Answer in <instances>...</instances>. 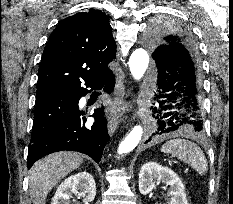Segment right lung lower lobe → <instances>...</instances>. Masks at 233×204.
I'll use <instances>...</instances> for the list:
<instances>
[{
	"label": "right lung lower lobe",
	"mask_w": 233,
	"mask_h": 204,
	"mask_svg": "<svg viewBox=\"0 0 233 204\" xmlns=\"http://www.w3.org/2000/svg\"><path fill=\"white\" fill-rule=\"evenodd\" d=\"M114 85L115 76L111 72L101 78L91 88L95 86L104 87V90L110 93ZM87 92L85 89L79 96H76L77 102L73 106L72 113L64 122L29 145L28 169L41 157L63 150L78 151L90 156L95 162H100L103 150L109 139L107 123L103 117V109L98 108L93 114L95 117L93 125L89 128L84 126L86 121L85 114L78 110V102Z\"/></svg>",
	"instance_id": "98d812e1"
}]
</instances>
